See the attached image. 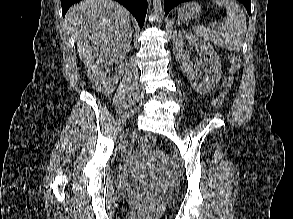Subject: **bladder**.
<instances>
[{
    "instance_id": "obj_1",
    "label": "bladder",
    "mask_w": 293,
    "mask_h": 219,
    "mask_svg": "<svg viewBox=\"0 0 293 219\" xmlns=\"http://www.w3.org/2000/svg\"><path fill=\"white\" fill-rule=\"evenodd\" d=\"M142 155L147 156L149 152H144ZM117 184L119 187L126 190H145L151 192L160 201H168L172 198L171 189L161 186L151 180L130 175H121L117 179Z\"/></svg>"
}]
</instances>
